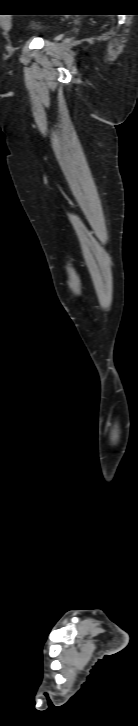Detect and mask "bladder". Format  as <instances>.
<instances>
[{
    "mask_svg": "<svg viewBox=\"0 0 138 726\" xmlns=\"http://www.w3.org/2000/svg\"><path fill=\"white\" fill-rule=\"evenodd\" d=\"M58 29L56 24L41 20L31 25L30 32L37 36H49Z\"/></svg>",
    "mask_w": 138,
    "mask_h": 726,
    "instance_id": "1",
    "label": "bladder"
}]
</instances>
